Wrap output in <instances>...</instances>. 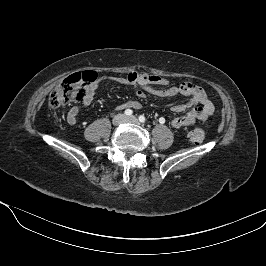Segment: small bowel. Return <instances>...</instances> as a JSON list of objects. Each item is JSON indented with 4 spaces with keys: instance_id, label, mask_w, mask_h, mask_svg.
Returning <instances> with one entry per match:
<instances>
[{
    "instance_id": "1",
    "label": "small bowel",
    "mask_w": 266,
    "mask_h": 266,
    "mask_svg": "<svg viewBox=\"0 0 266 266\" xmlns=\"http://www.w3.org/2000/svg\"><path fill=\"white\" fill-rule=\"evenodd\" d=\"M103 80L131 87L139 98H144L147 93L162 97L177 95L187 97L186 103L172 107L174 113L187 111L186 114L171 120V126L174 128L190 126L196 121H206L214 112L213 103L205 91L195 83L183 82L179 85L171 86L169 80L165 77L139 71H132L126 77L110 76L96 80L87 88L86 96L82 102L83 106H89L93 102L99 83ZM124 108L140 109L141 104L136 100H129L116 107L117 110ZM79 111V106H73L69 109L67 121L70 125L76 124Z\"/></svg>"
}]
</instances>
